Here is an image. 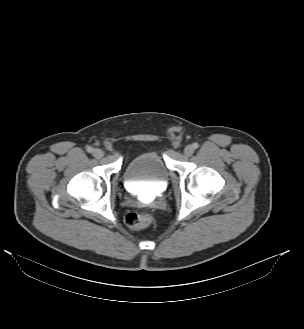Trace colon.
<instances>
[{"label": "colon", "mask_w": 304, "mask_h": 329, "mask_svg": "<svg viewBox=\"0 0 304 329\" xmlns=\"http://www.w3.org/2000/svg\"><path fill=\"white\" fill-rule=\"evenodd\" d=\"M154 216L151 213L138 214L130 212L125 216L126 225L132 230H140L151 226Z\"/></svg>", "instance_id": "colon-1"}]
</instances>
